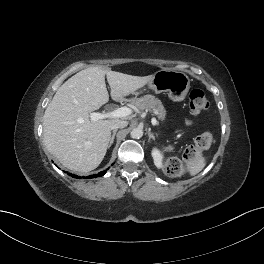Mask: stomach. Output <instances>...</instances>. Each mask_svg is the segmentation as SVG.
Wrapping results in <instances>:
<instances>
[{"label": "stomach", "instance_id": "stomach-1", "mask_svg": "<svg viewBox=\"0 0 264 264\" xmlns=\"http://www.w3.org/2000/svg\"><path fill=\"white\" fill-rule=\"evenodd\" d=\"M148 87L156 93L167 92L171 100L179 102L184 100L190 89V79L184 72L164 69L153 75Z\"/></svg>", "mask_w": 264, "mask_h": 264}]
</instances>
